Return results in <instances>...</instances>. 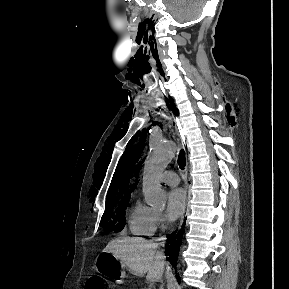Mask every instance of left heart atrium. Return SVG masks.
Instances as JSON below:
<instances>
[{"label": "left heart atrium", "mask_w": 289, "mask_h": 289, "mask_svg": "<svg viewBox=\"0 0 289 289\" xmlns=\"http://www.w3.org/2000/svg\"><path fill=\"white\" fill-rule=\"evenodd\" d=\"M187 196L183 189H172L167 195L166 216L173 221L178 219L185 211Z\"/></svg>", "instance_id": "obj_1"}]
</instances>
